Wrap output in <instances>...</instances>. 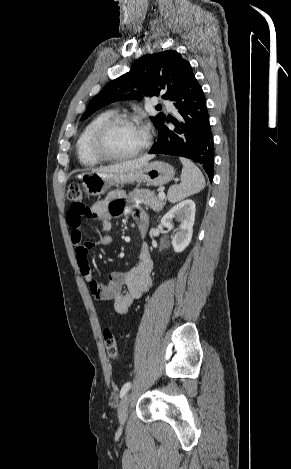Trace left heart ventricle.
<instances>
[{
  "instance_id": "left-heart-ventricle-1",
  "label": "left heart ventricle",
  "mask_w": 291,
  "mask_h": 469,
  "mask_svg": "<svg viewBox=\"0 0 291 469\" xmlns=\"http://www.w3.org/2000/svg\"><path fill=\"white\" fill-rule=\"evenodd\" d=\"M145 138L146 134L139 126L118 124L109 133L108 148L115 155H126L139 149Z\"/></svg>"
}]
</instances>
